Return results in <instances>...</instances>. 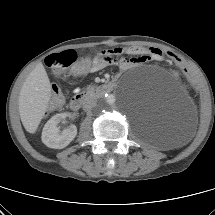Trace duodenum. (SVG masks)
<instances>
[{"mask_svg": "<svg viewBox=\"0 0 215 215\" xmlns=\"http://www.w3.org/2000/svg\"><path fill=\"white\" fill-rule=\"evenodd\" d=\"M115 86H116V82L111 81V82H109L107 84H104V85L100 86L99 88H97L95 90L88 91L86 93L76 95L70 101V108L72 110H79L84 105H86L89 102H91L97 96L103 95L105 93H110L111 91H113Z\"/></svg>", "mask_w": 215, "mask_h": 215, "instance_id": "1", "label": "duodenum"}]
</instances>
